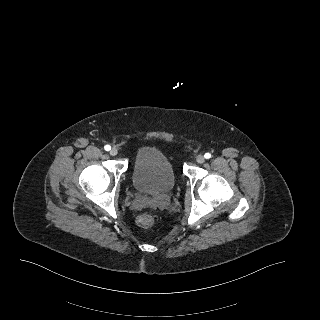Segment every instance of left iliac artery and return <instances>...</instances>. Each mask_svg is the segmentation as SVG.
I'll use <instances>...</instances> for the list:
<instances>
[{"label":"left iliac artery","mask_w":320,"mask_h":320,"mask_svg":"<svg viewBox=\"0 0 320 320\" xmlns=\"http://www.w3.org/2000/svg\"><path fill=\"white\" fill-rule=\"evenodd\" d=\"M204 157H205L206 159H209V158H211V154H210V153H205Z\"/></svg>","instance_id":"44dca946"}]
</instances>
